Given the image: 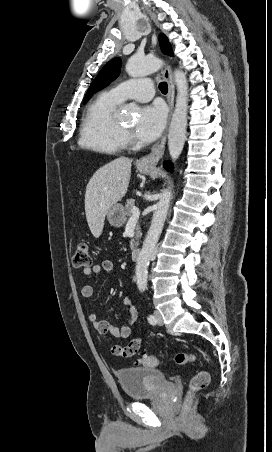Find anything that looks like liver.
Returning a JSON list of instances; mask_svg holds the SVG:
<instances>
[{"mask_svg": "<svg viewBox=\"0 0 272 452\" xmlns=\"http://www.w3.org/2000/svg\"><path fill=\"white\" fill-rule=\"evenodd\" d=\"M132 160L119 157L99 168L87 184L85 213L95 238L100 237L108 210L126 194L131 178Z\"/></svg>", "mask_w": 272, "mask_h": 452, "instance_id": "1", "label": "liver"}]
</instances>
